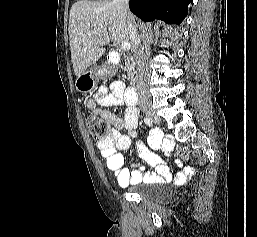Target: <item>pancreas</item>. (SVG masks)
Returning <instances> with one entry per match:
<instances>
[{"label":"pancreas","instance_id":"pancreas-1","mask_svg":"<svg viewBox=\"0 0 257 237\" xmlns=\"http://www.w3.org/2000/svg\"><path fill=\"white\" fill-rule=\"evenodd\" d=\"M124 70L127 72L130 83L135 81V63L132 57H127L124 61Z\"/></svg>","mask_w":257,"mask_h":237}]
</instances>
